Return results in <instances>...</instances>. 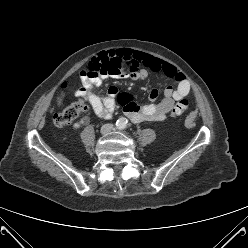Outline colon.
I'll list each match as a JSON object with an SVG mask.
<instances>
[{
    "instance_id": "5ec220e1",
    "label": "colon",
    "mask_w": 248,
    "mask_h": 248,
    "mask_svg": "<svg viewBox=\"0 0 248 248\" xmlns=\"http://www.w3.org/2000/svg\"><path fill=\"white\" fill-rule=\"evenodd\" d=\"M121 66L120 63L115 60L112 57H108L105 60L101 61H92L88 65V67L85 70V74L87 76H96L99 74H105V73H113L117 70H120ZM74 90H76L78 87L73 86ZM129 95L127 94H121L118 97V103L123 108L131 101ZM190 107V102L188 99H181L178 101V103L174 106L171 112V117L174 119L177 116L181 115L182 113L186 112ZM87 109V106L84 101L79 100L72 105L64 108L63 110L57 112L54 115V124L57 127H64L68 124H70L74 119L78 117V115L82 112H84Z\"/></svg>"
}]
</instances>
